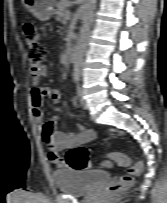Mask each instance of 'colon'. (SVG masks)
<instances>
[{
    "label": "colon",
    "mask_w": 167,
    "mask_h": 203,
    "mask_svg": "<svg viewBox=\"0 0 167 203\" xmlns=\"http://www.w3.org/2000/svg\"><path fill=\"white\" fill-rule=\"evenodd\" d=\"M25 45L27 49V59L32 69L38 70L46 59V48L40 43V35L34 23L27 22L24 24ZM90 150L83 146L70 148L65 155L67 165L75 170H85L92 166L90 161ZM108 156L116 162L127 167V172L119 180L107 188L109 194L122 192L133 185L134 176L143 170V162L136 160L130 163L129 158L121 152L108 153Z\"/></svg>",
    "instance_id": "colon-1"
}]
</instances>
